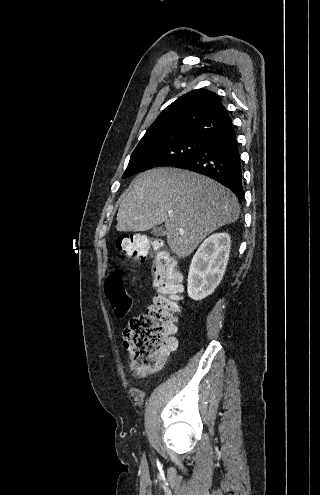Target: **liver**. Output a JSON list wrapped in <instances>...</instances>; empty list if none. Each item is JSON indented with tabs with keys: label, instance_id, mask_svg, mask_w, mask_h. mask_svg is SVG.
<instances>
[{
	"label": "liver",
	"instance_id": "liver-1",
	"mask_svg": "<svg viewBox=\"0 0 320 495\" xmlns=\"http://www.w3.org/2000/svg\"><path fill=\"white\" fill-rule=\"evenodd\" d=\"M239 213L237 197L218 182L186 170L158 168L140 174L124 194L116 228L142 232L165 223L170 249L184 258L208 234L237 221Z\"/></svg>",
	"mask_w": 320,
	"mask_h": 495
}]
</instances>
